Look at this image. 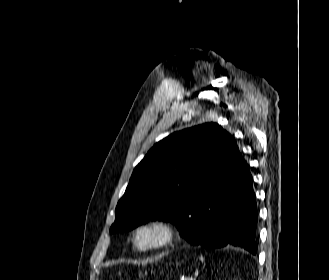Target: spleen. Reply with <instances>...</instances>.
Masks as SVG:
<instances>
[{"label":"spleen","instance_id":"3e777b00","mask_svg":"<svg viewBox=\"0 0 329 280\" xmlns=\"http://www.w3.org/2000/svg\"><path fill=\"white\" fill-rule=\"evenodd\" d=\"M200 260H201V261H203V260H204V258L201 256V257H200Z\"/></svg>","mask_w":329,"mask_h":280}]
</instances>
